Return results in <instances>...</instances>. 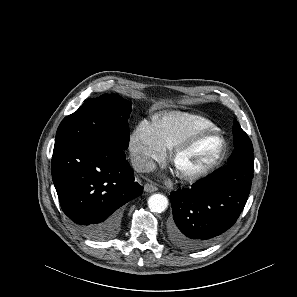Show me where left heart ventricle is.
<instances>
[{"label":"left heart ventricle","instance_id":"b2bd125f","mask_svg":"<svg viewBox=\"0 0 297 297\" xmlns=\"http://www.w3.org/2000/svg\"><path fill=\"white\" fill-rule=\"evenodd\" d=\"M220 140L215 135L199 139L176 160L174 168L180 174H193L207 167L218 155Z\"/></svg>","mask_w":297,"mask_h":297}]
</instances>
